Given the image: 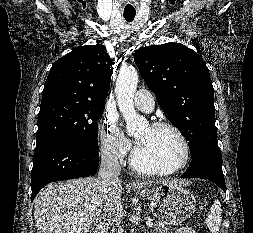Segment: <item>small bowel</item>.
<instances>
[{"instance_id":"c3829d8e","label":"small bowel","mask_w":253,"mask_h":233,"mask_svg":"<svg viewBox=\"0 0 253 233\" xmlns=\"http://www.w3.org/2000/svg\"><path fill=\"white\" fill-rule=\"evenodd\" d=\"M176 233H195L190 227H182Z\"/></svg>"}]
</instances>
